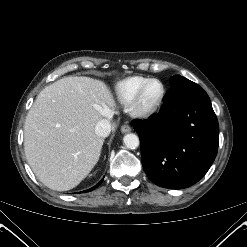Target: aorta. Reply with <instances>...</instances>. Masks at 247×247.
Masks as SVG:
<instances>
[{"mask_svg": "<svg viewBox=\"0 0 247 247\" xmlns=\"http://www.w3.org/2000/svg\"><path fill=\"white\" fill-rule=\"evenodd\" d=\"M123 142L128 149H136L139 146V138L134 133H128L124 136Z\"/></svg>", "mask_w": 247, "mask_h": 247, "instance_id": "aorta-1", "label": "aorta"}]
</instances>
